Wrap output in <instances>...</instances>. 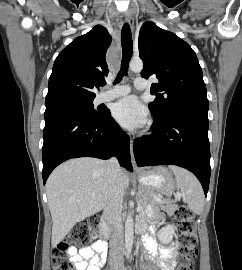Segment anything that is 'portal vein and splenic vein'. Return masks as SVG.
Instances as JSON below:
<instances>
[{"label":"portal vein and splenic vein","instance_id":"1","mask_svg":"<svg viewBox=\"0 0 242 270\" xmlns=\"http://www.w3.org/2000/svg\"><path fill=\"white\" fill-rule=\"evenodd\" d=\"M176 196H178V197H180L181 196V194L180 193H177V195ZM142 209V207L140 206V205H138V207H137V211H140Z\"/></svg>","mask_w":242,"mask_h":270}]
</instances>
